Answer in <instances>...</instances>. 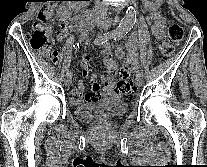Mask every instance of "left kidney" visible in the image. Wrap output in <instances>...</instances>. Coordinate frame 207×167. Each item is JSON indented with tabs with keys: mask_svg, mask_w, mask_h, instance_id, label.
<instances>
[{
	"mask_svg": "<svg viewBox=\"0 0 207 167\" xmlns=\"http://www.w3.org/2000/svg\"><path fill=\"white\" fill-rule=\"evenodd\" d=\"M157 5H160L161 0H155Z\"/></svg>",
	"mask_w": 207,
	"mask_h": 167,
	"instance_id": "5707ae66",
	"label": "left kidney"
}]
</instances>
